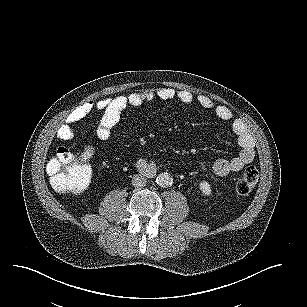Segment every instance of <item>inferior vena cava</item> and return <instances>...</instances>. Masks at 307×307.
Listing matches in <instances>:
<instances>
[{
  "instance_id": "602c4592",
  "label": "inferior vena cava",
  "mask_w": 307,
  "mask_h": 307,
  "mask_svg": "<svg viewBox=\"0 0 307 307\" xmlns=\"http://www.w3.org/2000/svg\"><path fill=\"white\" fill-rule=\"evenodd\" d=\"M131 184L135 188H142L146 186L147 179L140 174H135L131 179Z\"/></svg>"
}]
</instances>
